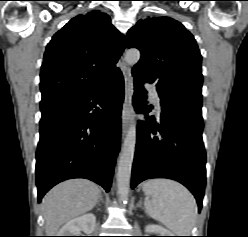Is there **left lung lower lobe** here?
I'll return each instance as SVG.
<instances>
[{"label":"left lung lower lobe","instance_id":"0a47b994","mask_svg":"<svg viewBox=\"0 0 248 237\" xmlns=\"http://www.w3.org/2000/svg\"><path fill=\"white\" fill-rule=\"evenodd\" d=\"M134 106L138 113H149L143 83L134 80ZM161 123L146 116L138 122L132 183L149 178H169L186 186L202 207L206 180V153L202 142V101L185 98L161 100Z\"/></svg>","mask_w":248,"mask_h":237}]
</instances>
